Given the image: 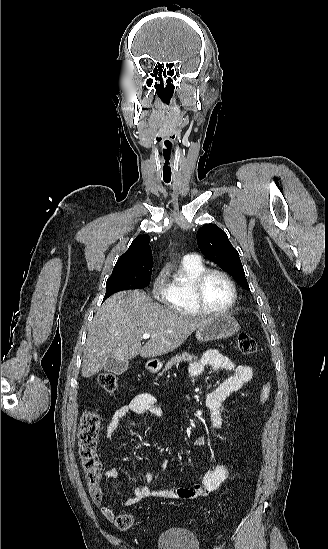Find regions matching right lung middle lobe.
<instances>
[{"label": "right lung middle lobe", "mask_w": 328, "mask_h": 549, "mask_svg": "<svg viewBox=\"0 0 328 549\" xmlns=\"http://www.w3.org/2000/svg\"><path fill=\"white\" fill-rule=\"evenodd\" d=\"M152 259L140 261L127 267L115 270L106 283V294L103 300L115 292L145 287L150 283Z\"/></svg>", "instance_id": "dd1d6c3e"}]
</instances>
